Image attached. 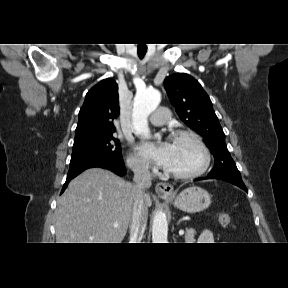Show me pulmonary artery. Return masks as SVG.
I'll return each mask as SVG.
<instances>
[{
	"mask_svg": "<svg viewBox=\"0 0 288 288\" xmlns=\"http://www.w3.org/2000/svg\"><path fill=\"white\" fill-rule=\"evenodd\" d=\"M170 119V112L166 107H158L155 114L151 118L153 127H160L166 124Z\"/></svg>",
	"mask_w": 288,
	"mask_h": 288,
	"instance_id": "obj_1",
	"label": "pulmonary artery"
}]
</instances>
